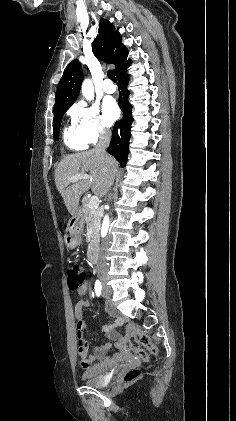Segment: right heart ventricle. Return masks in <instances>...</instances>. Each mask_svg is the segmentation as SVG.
<instances>
[{"instance_id": "e07e8e85", "label": "right heart ventricle", "mask_w": 236, "mask_h": 421, "mask_svg": "<svg viewBox=\"0 0 236 421\" xmlns=\"http://www.w3.org/2000/svg\"><path fill=\"white\" fill-rule=\"evenodd\" d=\"M63 140L66 148L70 151H83L88 148V142L79 134L73 125L65 127Z\"/></svg>"}]
</instances>
